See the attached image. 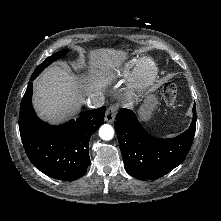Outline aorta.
<instances>
[{
    "instance_id": "762f6f07",
    "label": "aorta",
    "mask_w": 221,
    "mask_h": 221,
    "mask_svg": "<svg viewBox=\"0 0 221 221\" xmlns=\"http://www.w3.org/2000/svg\"><path fill=\"white\" fill-rule=\"evenodd\" d=\"M99 136L103 140H111L114 136L113 127L109 124H104L99 129Z\"/></svg>"
}]
</instances>
